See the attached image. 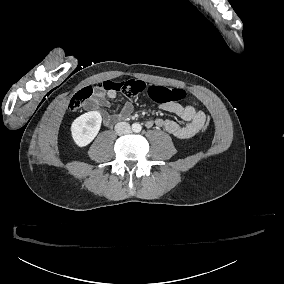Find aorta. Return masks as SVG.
I'll return each mask as SVG.
<instances>
[{
    "label": "aorta",
    "mask_w": 284,
    "mask_h": 284,
    "mask_svg": "<svg viewBox=\"0 0 284 284\" xmlns=\"http://www.w3.org/2000/svg\"><path fill=\"white\" fill-rule=\"evenodd\" d=\"M141 129H142V127H141V125H140L139 123H134V124L132 125V130H133L134 132H136V133L140 132Z\"/></svg>",
    "instance_id": "obj_1"
}]
</instances>
